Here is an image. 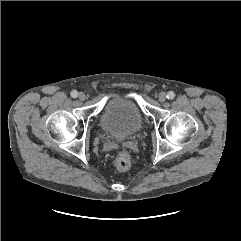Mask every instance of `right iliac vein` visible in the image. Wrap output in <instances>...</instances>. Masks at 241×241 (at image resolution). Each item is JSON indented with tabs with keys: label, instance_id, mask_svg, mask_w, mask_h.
I'll list each match as a JSON object with an SVG mask.
<instances>
[{
	"label": "right iliac vein",
	"instance_id": "63e3f726",
	"mask_svg": "<svg viewBox=\"0 0 241 241\" xmlns=\"http://www.w3.org/2000/svg\"><path fill=\"white\" fill-rule=\"evenodd\" d=\"M78 98H79L81 101H84V100L86 99L85 93L80 92V93L78 94Z\"/></svg>",
	"mask_w": 241,
	"mask_h": 241
}]
</instances>
